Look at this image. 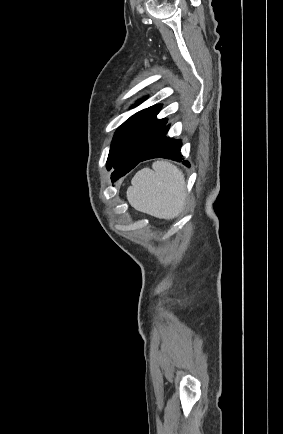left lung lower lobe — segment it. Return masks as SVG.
<instances>
[{
	"label": "left lung lower lobe",
	"mask_w": 283,
	"mask_h": 434,
	"mask_svg": "<svg viewBox=\"0 0 283 434\" xmlns=\"http://www.w3.org/2000/svg\"><path fill=\"white\" fill-rule=\"evenodd\" d=\"M169 130V125H165V127L158 134L156 139L149 146L144 155L132 162H128L125 164H120L114 166V171L111 175L112 181H116L120 177L124 176L130 170H132L136 165L140 162L152 159V158H166L174 161H182V154L180 152V148L182 146V142L180 140L172 139L167 135ZM183 164L189 166L188 161H183Z\"/></svg>",
	"instance_id": "0a47b994"
}]
</instances>
